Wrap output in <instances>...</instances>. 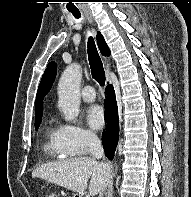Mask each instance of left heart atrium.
Segmentation results:
<instances>
[{"label":"left heart atrium","instance_id":"1","mask_svg":"<svg viewBox=\"0 0 191 197\" xmlns=\"http://www.w3.org/2000/svg\"><path fill=\"white\" fill-rule=\"evenodd\" d=\"M86 121L93 130L101 129L105 122L102 108L98 105L90 106L86 111Z\"/></svg>","mask_w":191,"mask_h":197}]
</instances>
